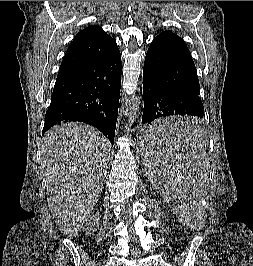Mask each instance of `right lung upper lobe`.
I'll use <instances>...</instances> for the list:
<instances>
[{
    "mask_svg": "<svg viewBox=\"0 0 253 266\" xmlns=\"http://www.w3.org/2000/svg\"><path fill=\"white\" fill-rule=\"evenodd\" d=\"M116 50V42L100 26H89L75 36L64 56L57 78L103 60Z\"/></svg>",
    "mask_w": 253,
    "mask_h": 266,
    "instance_id": "right-lung-upper-lobe-1",
    "label": "right lung upper lobe"
}]
</instances>
